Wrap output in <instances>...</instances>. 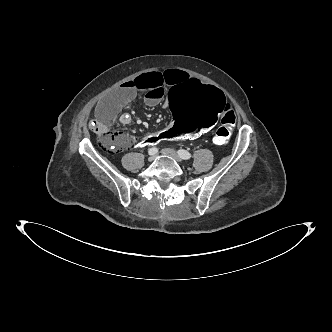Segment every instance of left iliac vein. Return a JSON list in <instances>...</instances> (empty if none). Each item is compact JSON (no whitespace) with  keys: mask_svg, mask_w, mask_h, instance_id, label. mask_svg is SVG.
<instances>
[{"mask_svg":"<svg viewBox=\"0 0 332 332\" xmlns=\"http://www.w3.org/2000/svg\"><path fill=\"white\" fill-rule=\"evenodd\" d=\"M161 153L165 156L171 157L173 159H175L177 162L181 163L182 159L180 158V156L178 155V153L170 148H165L161 151Z\"/></svg>","mask_w":332,"mask_h":332,"instance_id":"left-iliac-vein-1","label":"left iliac vein"}]
</instances>
